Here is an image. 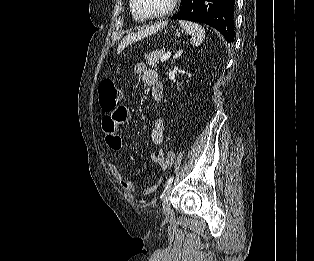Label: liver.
<instances>
[{
	"mask_svg": "<svg viewBox=\"0 0 314 261\" xmlns=\"http://www.w3.org/2000/svg\"><path fill=\"white\" fill-rule=\"evenodd\" d=\"M152 30L153 28H146L139 31L138 33H132L127 35L125 38L122 39V41L118 45L117 54H120L129 44L145 38L147 35L151 33Z\"/></svg>",
	"mask_w": 314,
	"mask_h": 261,
	"instance_id": "1",
	"label": "liver"
}]
</instances>
